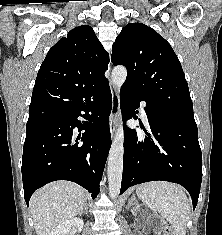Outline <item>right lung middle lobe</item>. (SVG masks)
<instances>
[{
    "mask_svg": "<svg viewBox=\"0 0 222 235\" xmlns=\"http://www.w3.org/2000/svg\"><path fill=\"white\" fill-rule=\"evenodd\" d=\"M48 121H44V122H27V125H26V131H30L42 124H45L47 123Z\"/></svg>",
    "mask_w": 222,
    "mask_h": 235,
    "instance_id": "obj_1",
    "label": "right lung middle lobe"
}]
</instances>
